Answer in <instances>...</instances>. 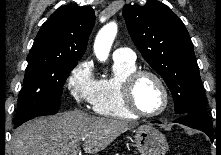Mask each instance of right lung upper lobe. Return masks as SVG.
I'll list each match as a JSON object with an SVG mask.
<instances>
[{"instance_id": "right-lung-upper-lobe-1", "label": "right lung upper lobe", "mask_w": 221, "mask_h": 155, "mask_svg": "<svg viewBox=\"0 0 221 155\" xmlns=\"http://www.w3.org/2000/svg\"><path fill=\"white\" fill-rule=\"evenodd\" d=\"M95 22L88 6H63L42 25L27 60L49 59L77 63L86 51Z\"/></svg>"}]
</instances>
